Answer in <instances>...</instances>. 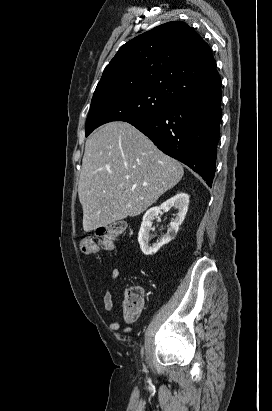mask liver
Listing matches in <instances>:
<instances>
[{
  "label": "liver",
  "instance_id": "1",
  "mask_svg": "<svg viewBox=\"0 0 272 411\" xmlns=\"http://www.w3.org/2000/svg\"><path fill=\"white\" fill-rule=\"evenodd\" d=\"M184 174L177 160L127 122H110L86 141L78 185L90 232L144 212Z\"/></svg>",
  "mask_w": 272,
  "mask_h": 411
}]
</instances>
